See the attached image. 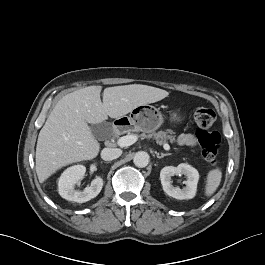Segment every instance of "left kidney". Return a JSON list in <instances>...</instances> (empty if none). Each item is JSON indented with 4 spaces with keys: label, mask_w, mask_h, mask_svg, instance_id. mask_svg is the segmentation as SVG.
Masks as SVG:
<instances>
[{
    "label": "left kidney",
    "mask_w": 265,
    "mask_h": 265,
    "mask_svg": "<svg viewBox=\"0 0 265 265\" xmlns=\"http://www.w3.org/2000/svg\"><path fill=\"white\" fill-rule=\"evenodd\" d=\"M174 175H185L187 180L186 186L183 189L174 187L171 182V177ZM160 180L164 192L176 199H192L197 191V183L199 180L198 171L189 164L181 163L177 167L166 166L160 172Z\"/></svg>",
    "instance_id": "5707ae66"
}]
</instances>
